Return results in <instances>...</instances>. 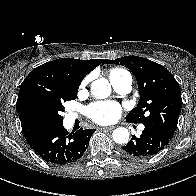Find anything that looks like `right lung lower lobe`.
I'll use <instances>...</instances> for the list:
<instances>
[{
    "instance_id": "1",
    "label": "right lung lower lobe",
    "mask_w": 196,
    "mask_h": 196,
    "mask_svg": "<svg viewBox=\"0 0 196 196\" xmlns=\"http://www.w3.org/2000/svg\"><path fill=\"white\" fill-rule=\"evenodd\" d=\"M95 129H79L68 133L63 124L37 133L27 142L43 160L53 164H69L83 156Z\"/></svg>"
}]
</instances>
